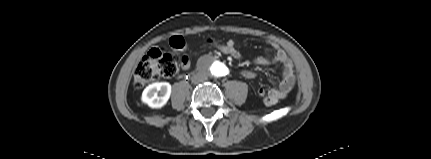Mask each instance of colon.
Segmentation results:
<instances>
[{
    "mask_svg": "<svg viewBox=\"0 0 431 159\" xmlns=\"http://www.w3.org/2000/svg\"><path fill=\"white\" fill-rule=\"evenodd\" d=\"M170 45L174 51L169 52L162 48L151 49L137 64L134 71L133 85L136 89H141L150 82L161 79L170 78L178 71L180 56L177 51L185 48V41L182 37H173L170 40ZM215 49V48H214ZM223 53L233 54L234 48ZM266 94L264 88L257 90V95L263 97Z\"/></svg>",
    "mask_w": 431,
    "mask_h": 159,
    "instance_id": "obj_1",
    "label": "colon"
}]
</instances>
